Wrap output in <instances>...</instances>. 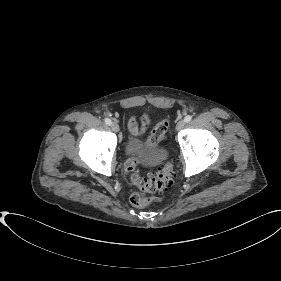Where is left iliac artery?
Wrapping results in <instances>:
<instances>
[{
  "instance_id": "44dca946",
  "label": "left iliac artery",
  "mask_w": 281,
  "mask_h": 281,
  "mask_svg": "<svg viewBox=\"0 0 281 281\" xmlns=\"http://www.w3.org/2000/svg\"><path fill=\"white\" fill-rule=\"evenodd\" d=\"M192 120V116L191 115H187L185 118H184V121L185 122H190Z\"/></svg>"
}]
</instances>
